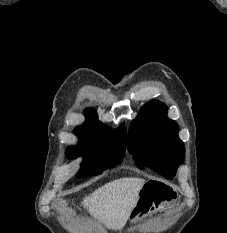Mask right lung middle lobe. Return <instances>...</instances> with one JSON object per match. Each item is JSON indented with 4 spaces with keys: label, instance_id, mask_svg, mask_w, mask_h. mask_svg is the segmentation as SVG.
I'll return each instance as SVG.
<instances>
[{
    "label": "right lung middle lobe",
    "instance_id": "obj_1",
    "mask_svg": "<svg viewBox=\"0 0 227 233\" xmlns=\"http://www.w3.org/2000/svg\"><path fill=\"white\" fill-rule=\"evenodd\" d=\"M125 154V148L122 142L116 138H110L102 142L77 146H71L67 149L66 157L73 159L78 156H84L79 177L98 175L103 171L121 163Z\"/></svg>",
    "mask_w": 227,
    "mask_h": 233
}]
</instances>
